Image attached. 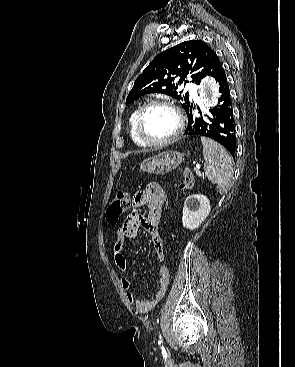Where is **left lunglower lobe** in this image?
<instances>
[{
	"label": "left lung lower lobe",
	"mask_w": 295,
	"mask_h": 367,
	"mask_svg": "<svg viewBox=\"0 0 295 367\" xmlns=\"http://www.w3.org/2000/svg\"><path fill=\"white\" fill-rule=\"evenodd\" d=\"M211 76L220 86L221 96L218 99V104L210 109V113L205 117L193 114L191 105L186 111L188 125L184 134L209 137L223 145L234 156L236 135L233 107L226 74L220 61L214 67Z\"/></svg>",
	"instance_id": "obj_1"
}]
</instances>
